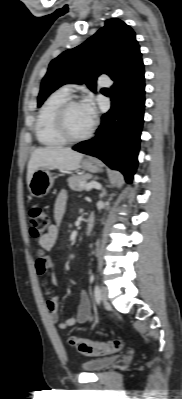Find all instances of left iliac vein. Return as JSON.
<instances>
[{
    "label": "left iliac vein",
    "mask_w": 182,
    "mask_h": 399,
    "mask_svg": "<svg viewBox=\"0 0 182 399\" xmlns=\"http://www.w3.org/2000/svg\"><path fill=\"white\" fill-rule=\"evenodd\" d=\"M101 299L105 307H109V299H108V292L105 288L101 290Z\"/></svg>",
    "instance_id": "obj_1"
}]
</instances>
